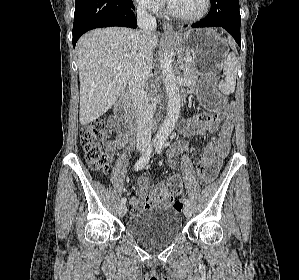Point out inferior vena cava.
Instances as JSON below:
<instances>
[{"instance_id":"602c4592","label":"inferior vena cava","mask_w":299,"mask_h":280,"mask_svg":"<svg viewBox=\"0 0 299 280\" xmlns=\"http://www.w3.org/2000/svg\"><path fill=\"white\" fill-rule=\"evenodd\" d=\"M138 31V54L134 69L129 78V90L136 112L137 145H146L151 141L154 106L148 101L145 84L152 69L151 36L157 24L156 19L145 7L139 5L136 10Z\"/></svg>"}]
</instances>
